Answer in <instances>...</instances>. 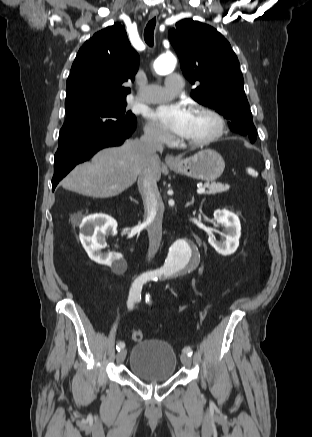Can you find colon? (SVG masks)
I'll use <instances>...</instances> for the list:
<instances>
[{"label":"colon","mask_w":312,"mask_h":437,"mask_svg":"<svg viewBox=\"0 0 312 437\" xmlns=\"http://www.w3.org/2000/svg\"><path fill=\"white\" fill-rule=\"evenodd\" d=\"M131 337L134 341H141L143 339V333L139 329H132Z\"/></svg>","instance_id":"1"}]
</instances>
